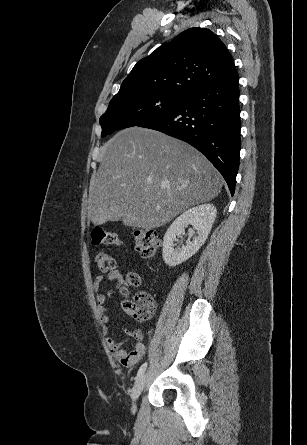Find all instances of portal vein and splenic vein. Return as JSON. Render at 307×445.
Returning a JSON list of instances; mask_svg holds the SVG:
<instances>
[{"label":"portal vein and splenic vein","instance_id":"1","mask_svg":"<svg viewBox=\"0 0 307 445\" xmlns=\"http://www.w3.org/2000/svg\"><path fill=\"white\" fill-rule=\"evenodd\" d=\"M148 182H152V180H148Z\"/></svg>","mask_w":307,"mask_h":445}]
</instances>
